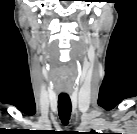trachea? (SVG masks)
I'll use <instances>...</instances> for the list:
<instances>
[{
  "label": "trachea",
  "instance_id": "3493384b",
  "mask_svg": "<svg viewBox=\"0 0 137 134\" xmlns=\"http://www.w3.org/2000/svg\"><path fill=\"white\" fill-rule=\"evenodd\" d=\"M71 100L67 95L58 97V112L60 119L64 125H67L71 116Z\"/></svg>",
  "mask_w": 137,
  "mask_h": 134
}]
</instances>
